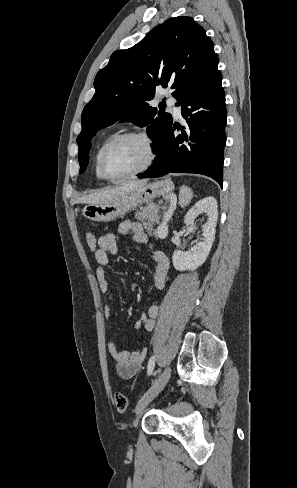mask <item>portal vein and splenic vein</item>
I'll return each instance as SVG.
<instances>
[{
	"instance_id": "1",
	"label": "portal vein and splenic vein",
	"mask_w": 297,
	"mask_h": 488,
	"mask_svg": "<svg viewBox=\"0 0 297 488\" xmlns=\"http://www.w3.org/2000/svg\"><path fill=\"white\" fill-rule=\"evenodd\" d=\"M174 212V208L171 207L167 212L164 213L163 219H162V225H161V230L164 228L166 223L170 220L172 214Z\"/></svg>"
}]
</instances>
